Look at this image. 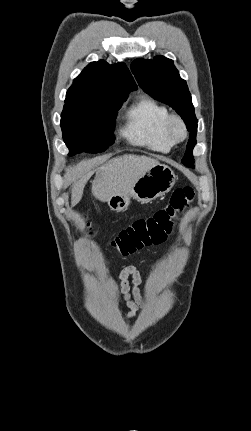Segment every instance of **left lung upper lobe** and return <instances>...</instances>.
I'll return each mask as SVG.
<instances>
[{"label":"left lung upper lobe","mask_w":251,"mask_h":431,"mask_svg":"<svg viewBox=\"0 0 251 431\" xmlns=\"http://www.w3.org/2000/svg\"><path fill=\"white\" fill-rule=\"evenodd\" d=\"M131 69L139 86L146 93L171 106L184 120L190 135L182 162L188 167H193L192 150L196 144L198 120L186 81L180 78L173 61L164 56H155L151 60L136 59Z\"/></svg>","instance_id":"obj_1"}]
</instances>
